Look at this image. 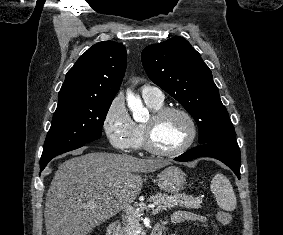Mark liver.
<instances>
[{
    "label": "liver",
    "instance_id": "obj_1",
    "mask_svg": "<svg viewBox=\"0 0 283 235\" xmlns=\"http://www.w3.org/2000/svg\"><path fill=\"white\" fill-rule=\"evenodd\" d=\"M82 152H73L76 157L55 172L45 202L47 235H87L137 198L143 185L139 173L169 165L161 159Z\"/></svg>",
    "mask_w": 283,
    "mask_h": 235
}]
</instances>
